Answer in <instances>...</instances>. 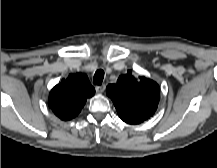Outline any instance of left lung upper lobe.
<instances>
[{
	"label": "left lung upper lobe",
	"mask_w": 217,
	"mask_h": 168,
	"mask_svg": "<svg viewBox=\"0 0 217 168\" xmlns=\"http://www.w3.org/2000/svg\"><path fill=\"white\" fill-rule=\"evenodd\" d=\"M107 95L119 117L128 124H139L151 117L158 106L160 88L145 77H134L131 70L119 76L116 84H109Z\"/></svg>",
	"instance_id": "1"
}]
</instances>
